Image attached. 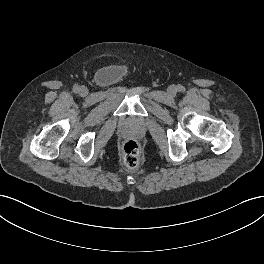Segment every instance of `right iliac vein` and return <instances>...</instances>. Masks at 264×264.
Returning a JSON list of instances; mask_svg holds the SVG:
<instances>
[{"label":"right iliac vein","instance_id":"63e3f726","mask_svg":"<svg viewBox=\"0 0 264 264\" xmlns=\"http://www.w3.org/2000/svg\"><path fill=\"white\" fill-rule=\"evenodd\" d=\"M79 92L81 95H87L88 93V90L86 87L82 86L80 89H79Z\"/></svg>","mask_w":264,"mask_h":264}]
</instances>
